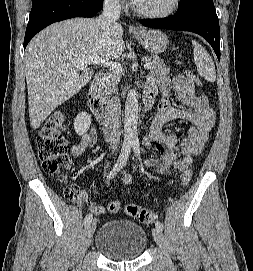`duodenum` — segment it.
Wrapping results in <instances>:
<instances>
[{"instance_id":"duodenum-1","label":"duodenum","mask_w":253,"mask_h":271,"mask_svg":"<svg viewBox=\"0 0 253 271\" xmlns=\"http://www.w3.org/2000/svg\"><path fill=\"white\" fill-rule=\"evenodd\" d=\"M104 78L105 73H98L95 79L91 82L87 92L88 105L100 123H108L110 121L109 108L100 97V84ZM153 97L154 95L148 91L143 94L142 106L145 111H148L152 108Z\"/></svg>"}]
</instances>
